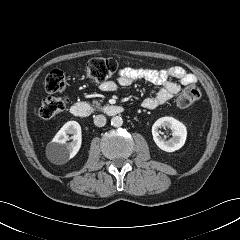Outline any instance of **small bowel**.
Listing matches in <instances>:
<instances>
[{
  "label": "small bowel",
  "mask_w": 240,
  "mask_h": 240,
  "mask_svg": "<svg viewBox=\"0 0 240 240\" xmlns=\"http://www.w3.org/2000/svg\"><path fill=\"white\" fill-rule=\"evenodd\" d=\"M171 78L177 79L178 82L172 81ZM136 80H144L160 87L156 95L142 101L144 109L152 110L177 96L181 86L195 84L197 77L181 66H170L160 70L125 67L120 70L116 80L102 83L100 89L104 92H112L118 87H128Z\"/></svg>",
  "instance_id": "small-bowel-1"
}]
</instances>
